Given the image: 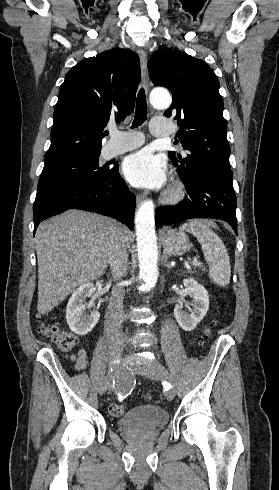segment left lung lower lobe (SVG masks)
I'll return each mask as SVG.
<instances>
[{
  "mask_svg": "<svg viewBox=\"0 0 279 490\" xmlns=\"http://www.w3.org/2000/svg\"><path fill=\"white\" fill-rule=\"evenodd\" d=\"M181 178L185 183L187 195L178 206L157 209L156 227L191 218H212L228 222L238 235L237 200L232 176L205 169Z\"/></svg>",
  "mask_w": 279,
  "mask_h": 490,
  "instance_id": "1",
  "label": "left lung lower lobe"
}]
</instances>
